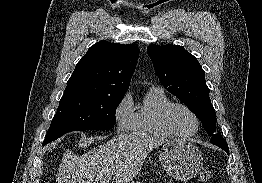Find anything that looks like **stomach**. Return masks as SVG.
<instances>
[{"mask_svg":"<svg viewBox=\"0 0 262 183\" xmlns=\"http://www.w3.org/2000/svg\"><path fill=\"white\" fill-rule=\"evenodd\" d=\"M159 160L169 176L181 181L196 176L203 166L200 150L194 144L183 139L165 142L160 150ZM132 183L141 182L133 181Z\"/></svg>","mask_w":262,"mask_h":183,"instance_id":"1","label":"stomach"}]
</instances>
